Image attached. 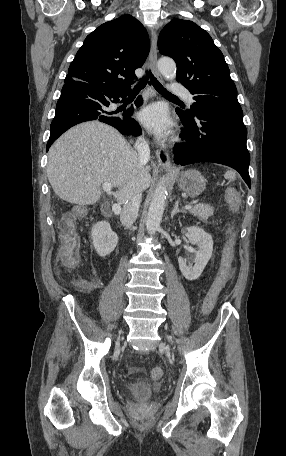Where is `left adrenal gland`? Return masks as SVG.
Here are the masks:
<instances>
[{
  "label": "left adrenal gland",
  "instance_id": "1",
  "mask_svg": "<svg viewBox=\"0 0 286 456\" xmlns=\"http://www.w3.org/2000/svg\"><path fill=\"white\" fill-rule=\"evenodd\" d=\"M178 204H179V200H177L175 202L174 209L171 212V219H173L174 215L177 214V213H185V210L179 209Z\"/></svg>",
  "mask_w": 286,
  "mask_h": 456
}]
</instances>
